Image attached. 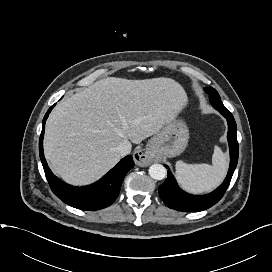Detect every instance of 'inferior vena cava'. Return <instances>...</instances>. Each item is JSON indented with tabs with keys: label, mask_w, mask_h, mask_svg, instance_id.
<instances>
[{
	"label": "inferior vena cava",
	"mask_w": 272,
	"mask_h": 272,
	"mask_svg": "<svg viewBox=\"0 0 272 272\" xmlns=\"http://www.w3.org/2000/svg\"><path fill=\"white\" fill-rule=\"evenodd\" d=\"M131 143L129 141H123L120 145L117 146V151L121 156L128 155L131 152Z\"/></svg>",
	"instance_id": "obj_1"
}]
</instances>
